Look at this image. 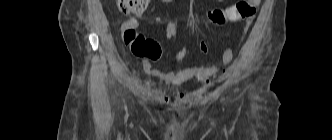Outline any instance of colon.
<instances>
[{"label": "colon", "instance_id": "obj_1", "mask_svg": "<svg viewBox=\"0 0 332 140\" xmlns=\"http://www.w3.org/2000/svg\"><path fill=\"white\" fill-rule=\"evenodd\" d=\"M261 0H240L226 9H213L207 13V21L214 26H223L228 22H236L251 18ZM149 0H117L118 9L125 15L142 13L147 7ZM134 20L123 23L121 28L124 43L130 47L132 53L138 57H146L157 60L161 57L159 44L140 34L136 29ZM183 31V25L178 21H170L165 28L168 38L178 36Z\"/></svg>", "mask_w": 332, "mask_h": 140}]
</instances>
